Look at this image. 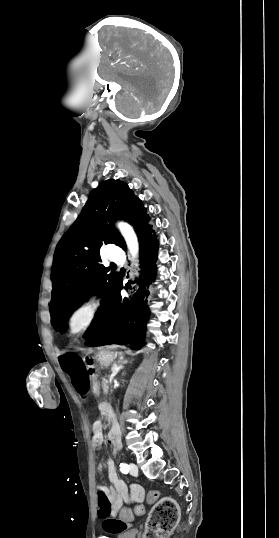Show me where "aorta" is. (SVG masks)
Returning <instances> with one entry per match:
<instances>
[{"label":"aorta","instance_id":"762f6f07","mask_svg":"<svg viewBox=\"0 0 279 538\" xmlns=\"http://www.w3.org/2000/svg\"><path fill=\"white\" fill-rule=\"evenodd\" d=\"M118 228L126 241L127 247L131 255L133 257H136L138 255L139 246L138 239L133 228L125 222H120L118 224Z\"/></svg>","mask_w":279,"mask_h":538}]
</instances>
